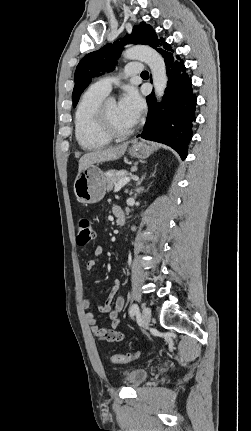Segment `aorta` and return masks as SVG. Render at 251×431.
Instances as JSON below:
<instances>
[{"label": "aorta", "mask_w": 251, "mask_h": 431, "mask_svg": "<svg viewBox=\"0 0 251 431\" xmlns=\"http://www.w3.org/2000/svg\"><path fill=\"white\" fill-rule=\"evenodd\" d=\"M124 58L145 62L151 69L157 101H161L167 87L168 77L162 56L148 46H134L123 53Z\"/></svg>", "instance_id": "aorta-1"}]
</instances>
